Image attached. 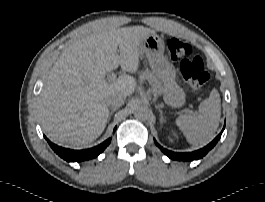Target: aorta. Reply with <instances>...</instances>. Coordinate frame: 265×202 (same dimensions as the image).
<instances>
[{
    "label": "aorta",
    "mask_w": 265,
    "mask_h": 202,
    "mask_svg": "<svg viewBox=\"0 0 265 202\" xmlns=\"http://www.w3.org/2000/svg\"><path fill=\"white\" fill-rule=\"evenodd\" d=\"M134 115L141 120L147 119L149 116V109L147 105L145 104L136 105L134 109Z\"/></svg>",
    "instance_id": "762f6f07"
}]
</instances>
